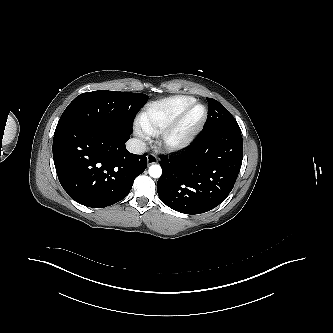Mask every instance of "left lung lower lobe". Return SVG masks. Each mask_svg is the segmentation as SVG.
I'll return each mask as SVG.
<instances>
[{"label": "left lung lower lobe", "instance_id": "1", "mask_svg": "<svg viewBox=\"0 0 333 333\" xmlns=\"http://www.w3.org/2000/svg\"><path fill=\"white\" fill-rule=\"evenodd\" d=\"M243 156L238 129L203 131L180 155L161 157L157 192L168 207L185 214L207 212L229 195Z\"/></svg>", "mask_w": 333, "mask_h": 333}]
</instances>
